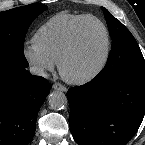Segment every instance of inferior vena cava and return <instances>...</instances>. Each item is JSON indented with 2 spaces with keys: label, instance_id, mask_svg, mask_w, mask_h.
I'll list each match as a JSON object with an SVG mask.
<instances>
[{
  "label": "inferior vena cava",
  "instance_id": "602c4592",
  "mask_svg": "<svg viewBox=\"0 0 145 145\" xmlns=\"http://www.w3.org/2000/svg\"><path fill=\"white\" fill-rule=\"evenodd\" d=\"M30 73L37 76H45L44 69L40 66H31Z\"/></svg>",
  "mask_w": 145,
  "mask_h": 145
}]
</instances>
